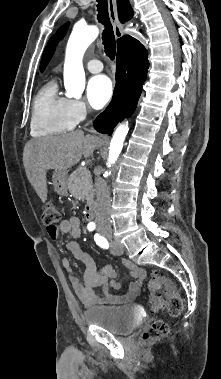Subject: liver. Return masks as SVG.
I'll list each match as a JSON object with an SVG mask.
<instances>
[{
    "label": "liver",
    "instance_id": "6515ba94",
    "mask_svg": "<svg viewBox=\"0 0 221 379\" xmlns=\"http://www.w3.org/2000/svg\"><path fill=\"white\" fill-rule=\"evenodd\" d=\"M103 144L97 136L83 131L35 138L24 147L23 163L27 178L43 203L47 200L46 173L50 169L66 170L84 156L88 158L95 148Z\"/></svg>",
    "mask_w": 221,
    "mask_h": 379
}]
</instances>
